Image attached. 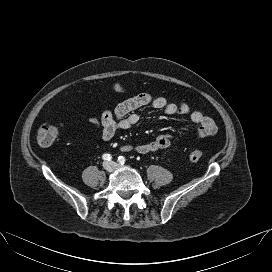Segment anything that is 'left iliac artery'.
<instances>
[{"mask_svg":"<svg viewBox=\"0 0 272 272\" xmlns=\"http://www.w3.org/2000/svg\"><path fill=\"white\" fill-rule=\"evenodd\" d=\"M125 161H126L125 157H123V156H119V157H118V162H119L121 165H123V164L125 163Z\"/></svg>","mask_w":272,"mask_h":272,"instance_id":"obj_1","label":"left iliac artery"}]
</instances>
